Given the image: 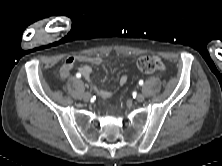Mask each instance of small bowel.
Here are the masks:
<instances>
[{"label":"small bowel","mask_w":222,"mask_h":166,"mask_svg":"<svg viewBox=\"0 0 222 166\" xmlns=\"http://www.w3.org/2000/svg\"><path fill=\"white\" fill-rule=\"evenodd\" d=\"M76 61L84 62V64L79 67V72H80V74H82V76L88 82H90L92 80V68L89 66V64L100 65L103 63V59L100 56L80 55V56L68 57L64 61L63 65L60 69V75L62 78L68 77V75L70 74V71ZM127 80H128V77L126 75H122L119 79L120 85L121 86L125 85ZM97 92H98V95L102 99H108L111 96L110 91H108L107 89H99Z\"/></svg>","instance_id":"obj_1"}]
</instances>
